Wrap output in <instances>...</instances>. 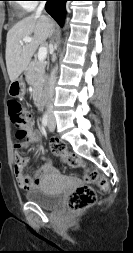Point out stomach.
<instances>
[{
    "instance_id": "1",
    "label": "stomach",
    "mask_w": 133,
    "mask_h": 253,
    "mask_svg": "<svg viewBox=\"0 0 133 253\" xmlns=\"http://www.w3.org/2000/svg\"><path fill=\"white\" fill-rule=\"evenodd\" d=\"M26 86L23 78H18L15 81H12L8 93L12 97H22L25 94Z\"/></svg>"
}]
</instances>
